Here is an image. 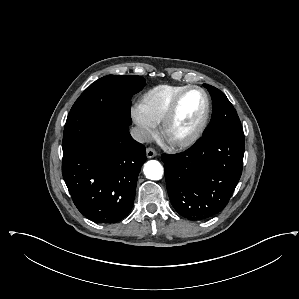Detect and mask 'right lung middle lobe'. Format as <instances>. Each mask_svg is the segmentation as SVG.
<instances>
[{"label": "right lung middle lobe", "instance_id": "obj_1", "mask_svg": "<svg viewBox=\"0 0 299 299\" xmlns=\"http://www.w3.org/2000/svg\"><path fill=\"white\" fill-rule=\"evenodd\" d=\"M145 85L141 76L108 75L88 87L67 117L63 154L99 129L113 123L131 124V97Z\"/></svg>", "mask_w": 299, "mask_h": 299}]
</instances>
